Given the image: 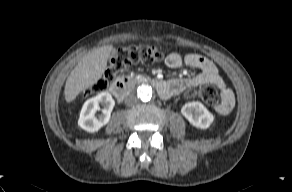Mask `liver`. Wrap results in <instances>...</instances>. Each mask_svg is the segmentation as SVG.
<instances>
[{"label":"liver","instance_id":"liver-1","mask_svg":"<svg viewBox=\"0 0 292 192\" xmlns=\"http://www.w3.org/2000/svg\"><path fill=\"white\" fill-rule=\"evenodd\" d=\"M113 49L106 45L87 53L68 76L64 96L67 103L72 102L82 91L97 83L107 67Z\"/></svg>","mask_w":292,"mask_h":192}]
</instances>
